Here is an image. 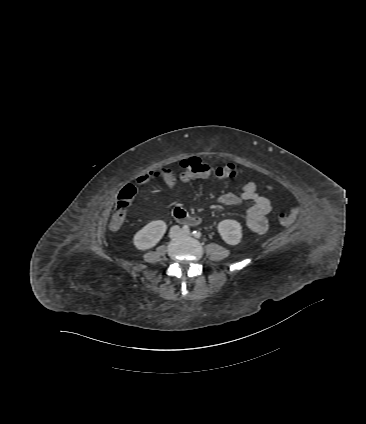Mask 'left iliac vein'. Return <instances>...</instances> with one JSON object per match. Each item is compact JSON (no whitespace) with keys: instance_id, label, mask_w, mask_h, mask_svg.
Wrapping results in <instances>:
<instances>
[{"instance_id":"1","label":"left iliac vein","mask_w":366,"mask_h":424,"mask_svg":"<svg viewBox=\"0 0 366 424\" xmlns=\"http://www.w3.org/2000/svg\"><path fill=\"white\" fill-rule=\"evenodd\" d=\"M182 235H184V236H190L191 233L190 232H183Z\"/></svg>"}]
</instances>
